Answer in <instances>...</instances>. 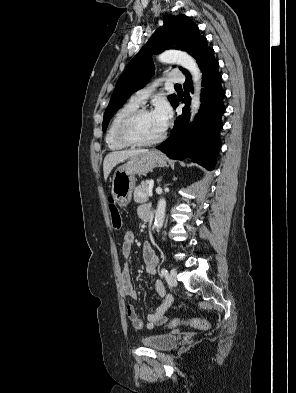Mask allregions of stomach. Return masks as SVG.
<instances>
[{
    "instance_id": "stomach-1",
    "label": "stomach",
    "mask_w": 296,
    "mask_h": 393,
    "mask_svg": "<svg viewBox=\"0 0 296 393\" xmlns=\"http://www.w3.org/2000/svg\"><path fill=\"white\" fill-rule=\"evenodd\" d=\"M167 164L165 155L158 151H149L131 157L125 164L118 167L112 178V195L119 206H127L135 188V175H144L156 167Z\"/></svg>"
}]
</instances>
